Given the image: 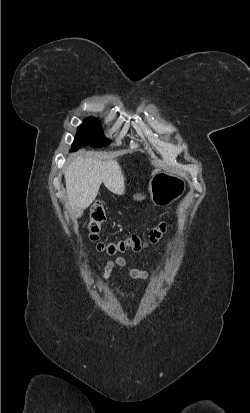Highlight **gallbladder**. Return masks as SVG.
Returning a JSON list of instances; mask_svg holds the SVG:
<instances>
[{"label":"gallbladder","instance_id":"bac80fb5","mask_svg":"<svg viewBox=\"0 0 250 413\" xmlns=\"http://www.w3.org/2000/svg\"><path fill=\"white\" fill-rule=\"evenodd\" d=\"M81 214H82L81 211H78V212H77V215H78L79 217L81 216Z\"/></svg>","mask_w":250,"mask_h":413}]
</instances>
